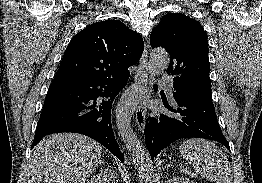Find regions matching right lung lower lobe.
I'll return each instance as SVG.
<instances>
[{"label":"right lung lower lobe","instance_id":"right-lung-lower-lobe-1","mask_svg":"<svg viewBox=\"0 0 262 183\" xmlns=\"http://www.w3.org/2000/svg\"><path fill=\"white\" fill-rule=\"evenodd\" d=\"M129 75L51 84L31 149L46 135L74 132L97 140L124 162L112 130L111 106Z\"/></svg>","mask_w":262,"mask_h":183}]
</instances>
